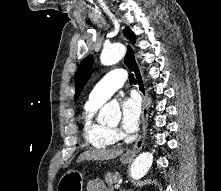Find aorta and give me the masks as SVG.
I'll list each match as a JSON object with an SVG mask.
<instances>
[{
	"label": "aorta",
	"instance_id": "aorta-1",
	"mask_svg": "<svg viewBox=\"0 0 221 191\" xmlns=\"http://www.w3.org/2000/svg\"><path fill=\"white\" fill-rule=\"evenodd\" d=\"M125 53V47L121 43H114L105 47L101 53L100 61L103 65H113L120 61ZM119 113V107L112 104H106L100 112L103 119H109L111 116ZM153 163V155L150 152L141 153L131 166V177L135 180L141 179L150 169Z\"/></svg>",
	"mask_w": 221,
	"mask_h": 191
}]
</instances>
